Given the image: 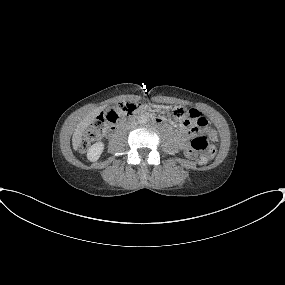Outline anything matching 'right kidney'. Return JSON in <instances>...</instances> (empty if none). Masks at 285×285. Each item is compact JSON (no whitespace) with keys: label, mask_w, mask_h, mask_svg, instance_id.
<instances>
[{"label":"right kidney","mask_w":285,"mask_h":285,"mask_svg":"<svg viewBox=\"0 0 285 285\" xmlns=\"http://www.w3.org/2000/svg\"><path fill=\"white\" fill-rule=\"evenodd\" d=\"M104 149V143L103 142H97L95 144H93L87 153V158L88 160L94 162L97 161L100 157V155L102 154Z\"/></svg>","instance_id":"ca27d5eb"}]
</instances>
